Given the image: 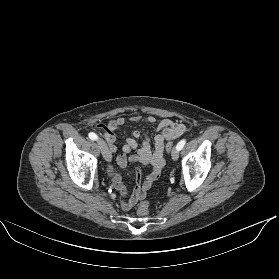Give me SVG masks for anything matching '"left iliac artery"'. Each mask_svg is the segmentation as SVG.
<instances>
[{"mask_svg": "<svg viewBox=\"0 0 279 279\" xmlns=\"http://www.w3.org/2000/svg\"><path fill=\"white\" fill-rule=\"evenodd\" d=\"M185 143H186V140H185V139H182L180 142H178L176 148H177L178 150H181V149L184 147Z\"/></svg>", "mask_w": 279, "mask_h": 279, "instance_id": "obj_1", "label": "left iliac artery"}]
</instances>
